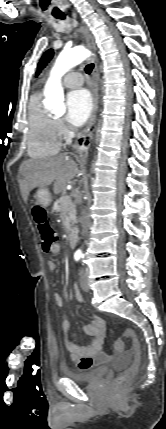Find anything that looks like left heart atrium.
<instances>
[{"instance_id":"39dd6f15","label":"left heart atrium","mask_w":166,"mask_h":429,"mask_svg":"<svg viewBox=\"0 0 166 429\" xmlns=\"http://www.w3.org/2000/svg\"><path fill=\"white\" fill-rule=\"evenodd\" d=\"M66 120L71 126H80L92 110V97L87 89L78 88L68 93Z\"/></svg>"}]
</instances>
